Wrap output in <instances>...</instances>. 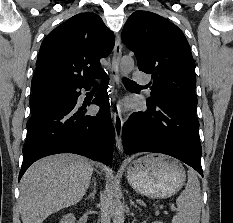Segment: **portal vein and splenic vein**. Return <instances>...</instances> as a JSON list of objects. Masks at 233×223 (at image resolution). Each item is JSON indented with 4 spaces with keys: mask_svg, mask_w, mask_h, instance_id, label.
<instances>
[{
    "mask_svg": "<svg viewBox=\"0 0 233 223\" xmlns=\"http://www.w3.org/2000/svg\"><path fill=\"white\" fill-rule=\"evenodd\" d=\"M172 209H176V207H174V205H171Z\"/></svg>",
    "mask_w": 233,
    "mask_h": 223,
    "instance_id": "portal-vein-and-splenic-vein-1",
    "label": "portal vein and splenic vein"
}]
</instances>
